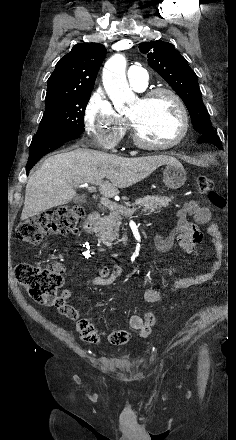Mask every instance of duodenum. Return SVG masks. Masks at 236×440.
Segmentation results:
<instances>
[{"label":"duodenum","instance_id":"410a0bca","mask_svg":"<svg viewBox=\"0 0 236 440\" xmlns=\"http://www.w3.org/2000/svg\"><path fill=\"white\" fill-rule=\"evenodd\" d=\"M101 214L98 211H92L88 214L84 224L83 231L87 236H92L94 233V228L98 221L100 220Z\"/></svg>","mask_w":236,"mask_h":440}]
</instances>
